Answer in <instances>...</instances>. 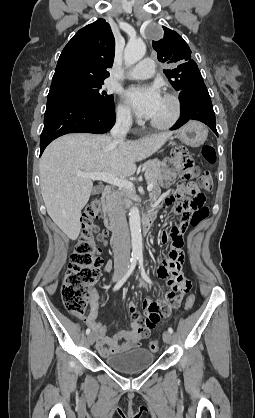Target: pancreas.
Listing matches in <instances>:
<instances>
[{
	"label": "pancreas",
	"instance_id": "1",
	"mask_svg": "<svg viewBox=\"0 0 255 418\" xmlns=\"http://www.w3.org/2000/svg\"><path fill=\"white\" fill-rule=\"evenodd\" d=\"M143 170L145 171L147 183L152 184L154 189H158V179L161 176V162L158 159L149 160L143 165ZM123 195L125 196L124 202L129 207L132 193L130 191H124Z\"/></svg>",
	"mask_w": 255,
	"mask_h": 418
}]
</instances>
